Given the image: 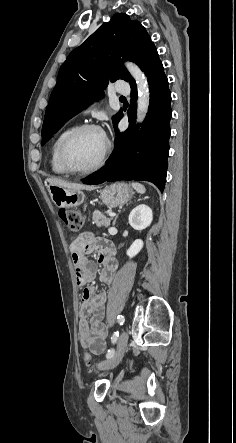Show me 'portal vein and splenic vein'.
<instances>
[{
    "label": "portal vein and splenic vein",
    "mask_w": 236,
    "mask_h": 443,
    "mask_svg": "<svg viewBox=\"0 0 236 443\" xmlns=\"http://www.w3.org/2000/svg\"><path fill=\"white\" fill-rule=\"evenodd\" d=\"M108 215H109L110 217H114V216H116V213H114V212H110Z\"/></svg>",
    "instance_id": "obj_1"
}]
</instances>
